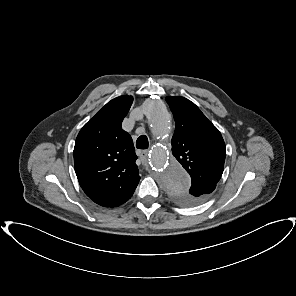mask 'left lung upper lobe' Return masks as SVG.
I'll list each match as a JSON object with an SVG mask.
<instances>
[{
	"label": "left lung upper lobe",
	"mask_w": 296,
	"mask_h": 296,
	"mask_svg": "<svg viewBox=\"0 0 296 296\" xmlns=\"http://www.w3.org/2000/svg\"><path fill=\"white\" fill-rule=\"evenodd\" d=\"M166 101L176 123L171 141L173 155L192 180L188 191H173L171 197L179 205H197L210 196L222 176L225 143L194 103L183 97H166Z\"/></svg>",
	"instance_id": "5c2ea615"
}]
</instances>
